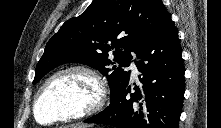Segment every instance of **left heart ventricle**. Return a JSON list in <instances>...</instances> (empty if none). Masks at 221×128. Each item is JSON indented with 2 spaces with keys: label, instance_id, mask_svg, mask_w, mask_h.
I'll return each instance as SVG.
<instances>
[{
  "label": "left heart ventricle",
  "instance_id": "obj_1",
  "mask_svg": "<svg viewBox=\"0 0 221 128\" xmlns=\"http://www.w3.org/2000/svg\"><path fill=\"white\" fill-rule=\"evenodd\" d=\"M92 86L88 79L77 74H65L45 90L37 107V117L41 122L68 112H77L91 99Z\"/></svg>",
  "mask_w": 221,
  "mask_h": 128
}]
</instances>
